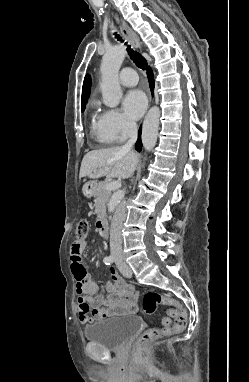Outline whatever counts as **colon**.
<instances>
[{"label": "colon", "instance_id": "obj_1", "mask_svg": "<svg viewBox=\"0 0 249 382\" xmlns=\"http://www.w3.org/2000/svg\"><path fill=\"white\" fill-rule=\"evenodd\" d=\"M89 233V223L86 220H80L76 229V239L84 241ZM159 305H168L167 314L174 318L171 324L167 318L159 328H152L140 335L136 342V351L142 354V349L155 342L162 336L171 335L176 331L185 328L187 324V313L175 300L165 297L158 292L148 291L143 297V310L146 314L152 315Z\"/></svg>", "mask_w": 249, "mask_h": 382}]
</instances>
